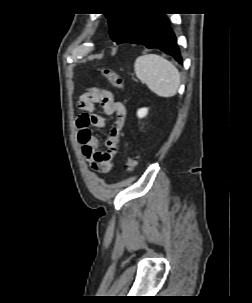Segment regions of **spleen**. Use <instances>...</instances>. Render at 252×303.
<instances>
[{"label": "spleen", "mask_w": 252, "mask_h": 303, "mask_svg": "<svg viewBox=\"0 0 252 303\" xmlns=\"http://www.w3.org/2000/svg\"><path fill=\"white\" fill-rule=\"evenodd\" d=\"M138 79L160 97H173L180 85L178 69L167 59L156 54L138 57L134 63Z\"/></svg>", "instance_id": "1"}]
</instances>
